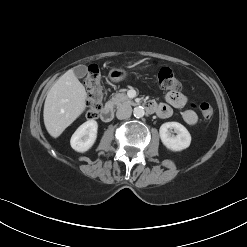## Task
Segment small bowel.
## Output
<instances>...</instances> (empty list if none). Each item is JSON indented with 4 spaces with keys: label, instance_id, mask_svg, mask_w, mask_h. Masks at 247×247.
<instances>
[{
    "label": "small bowel",
    "instance_id": "c3829d8e",
    "mask_svg": "<svg viewBox=\"0 0 247 247\" xmlns=\"http://www.w3.org/2000/svg\"><path fill=\"white\" fill-rule=\"evenodd\" d=\"M166 103L156 104V114L161 118H168L172 115L173 109H183L182 118L188 125H194L198 121L196 112L187 108L188 98L177 91H170L165 95Z\"/></svg>",
    "mask_w": 247,
    "mask_h": 247
}]
</instances>
